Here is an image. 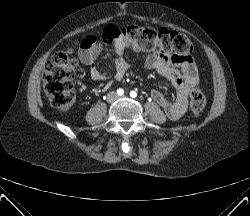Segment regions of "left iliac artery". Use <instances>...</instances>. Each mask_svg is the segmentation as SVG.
Returning a JSON list of instances; mask_svg holds the SVG:
<instances>
[{"instance_id":"obj_1","label":"left iliac artery","mask_w":250,"mask_h":216,"mask_svg":"<svg viewBox=\"0 0 250 216\" xmlns=\"http://www.w3.org/2000/svg\"><path fill=\"white\" fill-rule=\"evenodd\" d=\"M130 96H131L132 98H135V97L137 96V93H136L135 91H131V92H130Z\"/></svg>"}]
</instances>
